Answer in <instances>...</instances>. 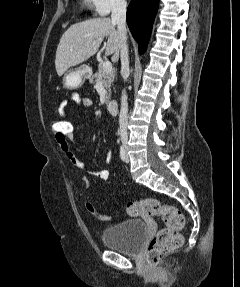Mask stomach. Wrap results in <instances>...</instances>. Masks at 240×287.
Masks as SVG:
<instances>
[{
	"label": "stomach",
	"instance_id": "1",
	"mask_svg": "<svg viewBox=\"0 0 240 287\" xmlns=\"http://www.w3.org/2000/svg\"><path fill=\"white\" fill-rule=\"evenodd\" d=\"M91 70L87 65L69 70L64 78V86L68 89H76L83 85L85 79L90 76Z\"/></svg>",
	"mask_w": 240,
	"mask_h": 287
}]
</instances>
